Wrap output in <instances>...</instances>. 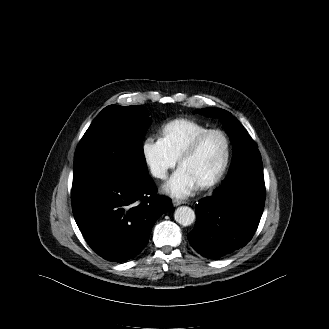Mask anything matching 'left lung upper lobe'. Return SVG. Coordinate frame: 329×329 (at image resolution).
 Listing matches in <instances>:
<instances>
[{"mask_svg":"<svg viewBox=\"0 0 329 329\" xmlns=\"http://www.w3.org/2000/svg\"><path fill=\"white\" fill-rule=\"evenodd\" d=\"M194 113H200L208 116L220 117L224 120V124L229 133L230 139L233 144V160L230 166H232L239 160H250L253 162L261 161V156L258 147L254 140L249 136L245 128L240 122L232 116L231 113L219 108H205L194 111ZM229 169V172H230ZM220 195V189H216L213 196L218 197Z\"/></svg>","mask_w":329,"mask_h":329,"instance_id":"5c2ea615","label":"left lung upper lobe"}]
</instances>
